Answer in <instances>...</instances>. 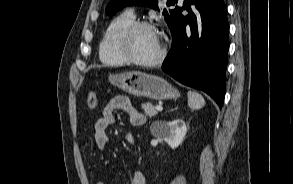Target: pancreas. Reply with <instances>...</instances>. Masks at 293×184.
Returning <instances> with one entry per match:
<instances>
[{
	"mask_svg": "<svg viewBox=\"0 0 293 184\" xmlns=\"http://www.w3.org/2000/svg\"><path fill=\"white\" fill-rule=\"evenodd\" d=\"M142 109L144 110L145 115L150 118L157 114L156 106H154L152 103L148 102V103L142 104Z\"/></svg>",
	"mask_w": 293,
	"mask_h": 184,
	"instance_id": "cf45deb5",
	"label": "pancreas"
}]
</instances>
